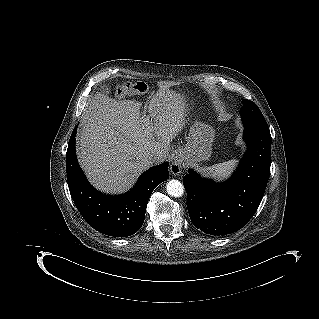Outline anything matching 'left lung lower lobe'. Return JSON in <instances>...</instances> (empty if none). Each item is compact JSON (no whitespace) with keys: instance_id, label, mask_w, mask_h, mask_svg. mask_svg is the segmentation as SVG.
<instances>
[{"instance_id":"left-lung-lower-lobe-1","label":"left lung lower lobe","mask_w":319,"mask_h":319,"mask_svg":"<svg viewBox=\"0 0 319 319\" xmlns=\"http://www.w3.org/2000/svg\"><path fill=\"white\" fill-rule=\"evenodd\" d=\"M248 148L236 172L217 184L191 169L183 178L188 212L197 229L215 236L241 229L256 212L270 175V131L245 128Z\"/></svg>"}]
</instances>
